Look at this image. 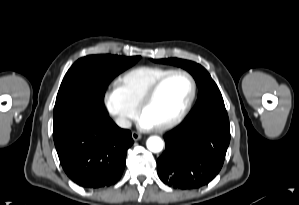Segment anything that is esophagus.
<instances>
[{
    "instance_id": "34e87169",
    "label": "esophagus",
    "mask_w": 299,
    "mask_h": 205,
    "mask_svg": "<svg viewBox=\"0 0 299 205\" xmlns=\"http://www.w3.org/2000/svg\"><path fill=\"white\" fill-rule=\"evenodd\" d=\"M141 135L138 132H132V138L134 141L140 140L141 139Z\"/></svg>"
}]
</instances>
